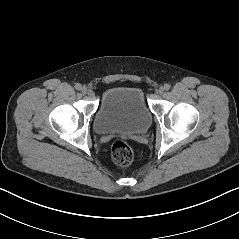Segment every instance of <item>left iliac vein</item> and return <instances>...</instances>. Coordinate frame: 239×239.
<instances>
[{"instance_id":"left-iliac-vein-1","label":"left iliac vein","mask_w":239,"mask_h":239,"mask_svg":"<svg viewBox=\"0 0 239 239\" xmlns=\"http://www.w3.org/2000/svg\"><path fill=\"white\" fill-rule=\"evenodd\" d=\"M164 87H160L157 91L158 94H162L164 92Z\"/></svg>"}]
</instances>
